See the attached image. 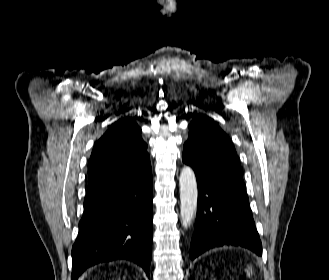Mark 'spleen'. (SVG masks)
<instances>
[{"mask_svg": "<svg viewBox=\"0 0 329 280\" xmlns=\"http://www.w3.org/2000/svg\"><path fill=\"white\" fill-rule=\"evenodd\" d=\"M247 273L248 274L252 273V270L251 269H248Z\"/></svg>", "mask_w": 329, "mask_h": 280, "instance_id": "obj_1", "label": "spleen"}]
</instances>
